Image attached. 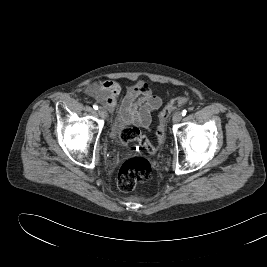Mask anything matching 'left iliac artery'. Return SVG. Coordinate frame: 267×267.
<instances>
[{
	"label": "left iliac artery",
	"mask_w": 267,
	"mask_h": 267,
	"mask_svg": "<svg viewBox=\"0 0 267 267\" xmlns=\"http://www.w3.org/2000/svg\"><path fill=\"white\" fill-rule=\"evenodd\" d=\"M187 114V111L186 110H183L182 111V116H185Z\"/></svg>",
	"instance_id": "44dca946"
}]
</instances>
